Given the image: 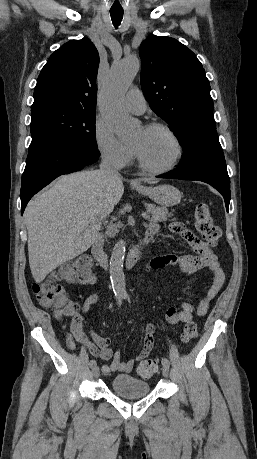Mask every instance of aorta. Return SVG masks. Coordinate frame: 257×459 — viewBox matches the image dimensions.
<instances>
[{
  "mask_svg": "<svg viewBox=\"0 0 257 459\" xmlns=\"http://www.w3.org/2000/svg\"><path fill=\"white\" fill-rule=\"evenodd\" d=\"M140 68L136 57L127 58L116 63L110 70L101 92V111L106 124L122 142L134 139L138 123L123 112L120 103ZM126 242L119 240L111 254L110 278L116 298L126 296V284L123 261Z\"/></svg>",
  "mask_w": 257,
  "mask_h": 459,
  "instance_id": "762f6f07",
  "label": "aorta"
}]
</instances>
